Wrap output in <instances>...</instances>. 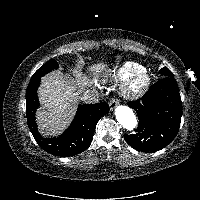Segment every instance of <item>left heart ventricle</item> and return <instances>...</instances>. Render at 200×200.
<instances>
[{
	"instance_id": "1",
	"label": "left heart ventricle",
	"mask_w": 200,
	"mask_h": 200,
	"mask_svg": "<svg viewBox=\"0 0 200 200\" xmlns=\"http://www.w3.org/2000/svg\"><path fill=\"white\" fill-rule=\"evenodd\" d=\"M142 83H143V78H139L134 82L133 86L134 88H138L139 86H141Z\"/></svg>"
}]
</instances>
